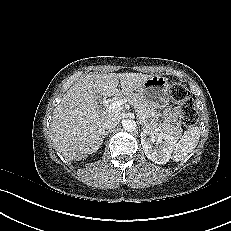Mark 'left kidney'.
Masks as SVG:
<instances>
[{"label":"left kidney","instance_id":"5707ae66","mask_svg":"<svg viewBox=\"0 0 231 231\" xmlns=\"http://www.w3.org/2000/svg\"><path fill=\"white\" fill-rule=\"evenodd\" d=\"M141 144L148 159L157 164H166L171 158L176 138L152 130L141 132Z\"/></svg>","mask_w":231,"mask_h":231}]
</instances>
